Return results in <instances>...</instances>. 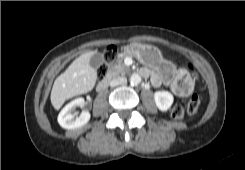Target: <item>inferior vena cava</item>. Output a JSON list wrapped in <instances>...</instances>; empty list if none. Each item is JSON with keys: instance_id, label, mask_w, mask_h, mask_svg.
Returning <instances> with one entry per match:
<instances>
[{"instance_id": "obj_1", "label": "inferior vena cava", "mask_w": 245, "mask_h": 170, "mask_svg": "<svg viewBox=\"0 0 245 170\" xmlns=\"http://www.w3.org/2000/svg\"><path fill=\"white\" fill-rule=\"evenodd\" d=\"M127 83V78L124 76L116 77L110 81V86L115 87L118 85H123Z\"/></svg>"}]
</instances>
